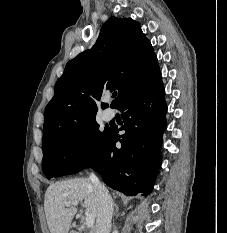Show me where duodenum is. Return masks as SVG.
<instances>
[{
    "label": "duodenum",
    "mask_w": 227,
    "mask_h": 233,
    "mask_svg": "<svg viewBox=\"0 0 227 233\" xmlns=\"http://www.w3.org/2000/svg\"><path fill=\"white\" fill-rule=\"evenodd\" d=\"M72 233H79V232H77V231H74V232H72Z\"/></svg>",
    "instance_id": "1"
}]
</instances>
